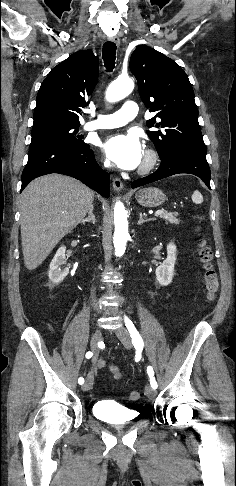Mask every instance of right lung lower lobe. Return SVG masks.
<instances>
[{"label":"right lung lower lobe","mask_w":236,"mask_h":486,"mask_svg":"<svg viewBox=\"0 0 236 486\" xmlns=\"http://www.w3.org/2000/svg\"><path fill=\"white\" fill-rule=\"evenodd\" d=\"M50 173L74 177L102 196L110 195V176L98 165L88 144L81 147L54 143L30 145L21 191L33 179Z\"/></svg>","instance_id":"obj_1"}]
</instances>
